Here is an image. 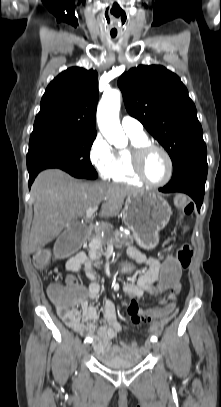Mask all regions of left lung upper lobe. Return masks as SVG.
Masks as SVG:
<instances>
[{
  "label": "left lung upper lobe",
  "instance_id": "left-lung-upper-lobe-1",
  "mask_svg": "<svg viewBox=\"0 0 221 407\" xmlns=\"http://www.w3.org/2000/svg\"><path fill=\"white\" fill-rule=\"evenodd\" d=\"M118 86L128 113L169 153L173 173L207 155L196 107L176 74L160 65H140L123 73Z\"/></svg>",
  "mask_w": 221,
  "mask_h": 407
}]
</instances>
